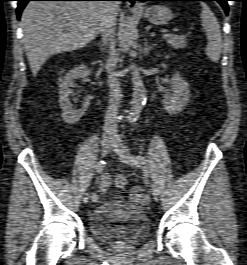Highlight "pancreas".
I'll return each mask as SVG.
<instances>
[{"instance_id": "obj_1", "label": "pancreas", "mask_w": 247, "mask_h": 265, "mask_svg": "<svg viewBox=\"0 0 247 265\" xmlns=\"http://www.w3.org/2000/svg\"><path fill=\"white\" fill-rule=\"evenodd\" d=\"M166 43L173 47L174 49H182L187 46V36L186 35H172L167 37Z\"/></svg>"}]
</instances>
